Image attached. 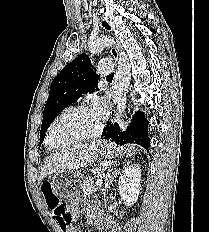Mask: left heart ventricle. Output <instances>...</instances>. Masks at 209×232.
I'll return each instance as SVG.
<instances>
[{"instance_id":"1","label":"left heart ventricle","mask_w":209,"mask_h":232,"mask_svg":"<svg viewBox=\"0 0 209 232\" xmlns=\"http://www.w3.org/2000/svg\"><path fill=\"white\" fill-rule=\"evenodd\" d=\"M100 118L93 110L73 111L63 116L52 130L50 143L59 147L67 141L92 132L98 125Z\"/></svg>"}]
</instances>
